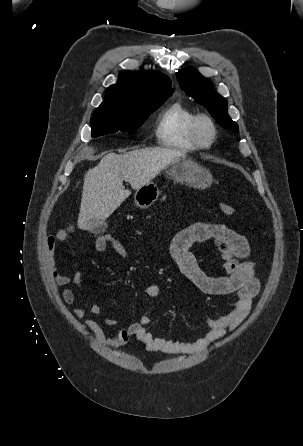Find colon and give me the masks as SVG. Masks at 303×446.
<instances>
[{"label":"colon","mask_w":303,"mask_h":446,"mask_svg":"<svg viewBox=\"0 0 303 446\" xmlns=\"http://www.w3.org/2000/svg\"><path fill=\"white\" fill-rule=\"evenodd\" d=\"M220 210L227 216H233L236 213V209L233 206H231V205H229L227 203H221L220 204ZM104 238L106 240H108V239L112 238V236L108 235V234H105Z\"/></svg>","instance_id":"1"}]
</instances>
